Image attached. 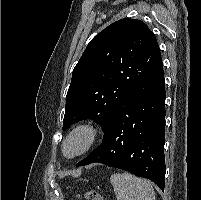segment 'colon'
<instances>
[{
    "instance_id": "colon-1",
    "label": "colon",
    "mask_w": 201,
    "mask_h": 200,
    "mask_svg": "<svg viewBox=\"0 0 201 200\" xmlns=\"http://www.w3.org/2000/svg\"><path fill=\"white\" fill-rule=\"evenodd\" d=\"M79 200H104L100 193L97 191H87L79 196Z\"/></svg>"
}]
</instances>
